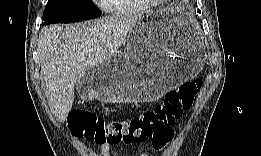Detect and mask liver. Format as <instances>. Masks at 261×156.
Returning a JSON list of instances; mask_svg holds the SVG:
<instances>
[{"label":"liver","instance_id":"liver-1","mask_svg":"<svg viewBox=\"0 0 261 156\" xmlns=\"http://www.w3.org/2000/svg\"><path fill=\"white\" fill-rule=\"evenodd\" d=\"M141 14L112 15L41 29L39 56L48 101L59 122L74 102L75 84L91 69L106 63L119 51Z\"/></svg>","mask_w":261,"mask_h":156}]
</instances>
